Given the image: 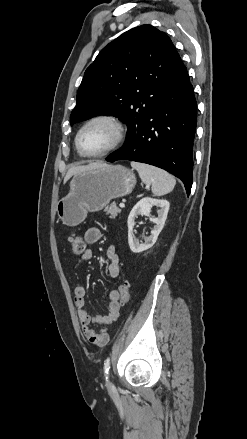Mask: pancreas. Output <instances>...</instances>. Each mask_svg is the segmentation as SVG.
I'll return each instance as SVG.
<instances>
[{"instance_id":"1","label":"pancreas","mask_w":247,"mask_h":439,"mask_svg":"<svg viewBox=\"0 0 247 439\" xmlns=\"http://www.w3.org/2000/svg\"><path fill=\"white\" fill-rule=\"evenodd\" d=\"M104 211L106 212L107 215H109L111 219L115 218L117 214L121 212V210L117 207L115 202L107 206Z\"/></svg>"}]
</instances>
